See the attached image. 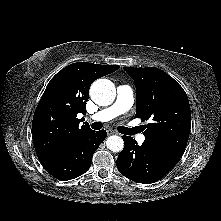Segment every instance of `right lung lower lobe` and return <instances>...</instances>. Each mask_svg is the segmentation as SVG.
Returning a JSON list of instances; mask_svg holds the SVG:
<instances>
[{
	"label": "right lung lower lobe",
	"instance_id": "98d812e1",
	"mask_svg": "<svg viewBox=\"0 0 221 221\" xmlns=\"http://www.w3.org/2000/svg\"><path fill=\"white\" fill-rule=\"evenodd\" d=\"M106 136L105 130H91L62 153L41 164L49 174L58 180L67 181L77 178L90 168L93 153Z\"/></svg>",
	"mask_w": 221,
	"mask_h": 221
}]
</instances>
